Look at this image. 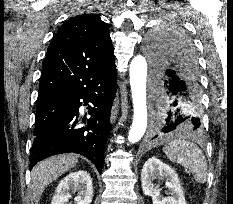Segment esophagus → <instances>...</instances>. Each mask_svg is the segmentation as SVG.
Masks as SVG:
<instances>
[{"label": "esophagus", "mask_w": 233, "mask_h": 204, "mask_svg": "<svg viewBox=\"0 0 233 204\" xmlns=\"http://www.w3.org/2000/svg\"><path fill=\"white\" fill-rule=\"evenodd\" d=\"M118 111V98L115 99L111 112V122H114Z\"/></svg>", "instance_id": "1"}]
</instances>
